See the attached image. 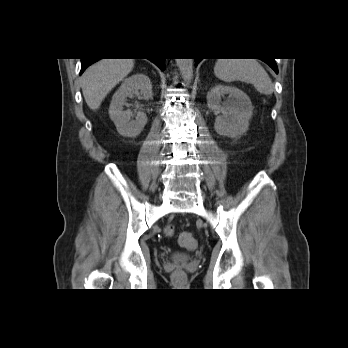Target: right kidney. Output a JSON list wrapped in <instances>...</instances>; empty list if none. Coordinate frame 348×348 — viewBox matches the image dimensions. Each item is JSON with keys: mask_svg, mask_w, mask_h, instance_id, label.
Returning <instances> with one entry per match:
<instances>
[{"mask_svg": "<svg viewBox=\"0 0 348 348\" xmlns=\"http://www.w3.org/2000/svg\"><path fill=\"white\" fill-rule=\"evenodd\" d=\"M134 96L143 99L153 98L152 84L146 75L137 73L126 78L112 97L109 116L117 131L124 137L134 138L138 136L147 123V116L144 112L138 111L135 120H133L132 112L123 109V106H128L127 98Z\"/></svg>", "mask_w": 348, "mask_h": 348, "instance_id": "ca27d5eb", "label": "right kidney"}]
</instances>
